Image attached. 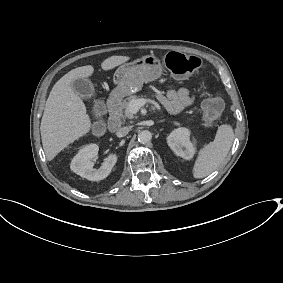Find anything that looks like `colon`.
Returning a JSON list of instances; mask_svg holds the SVG:
<instances>
[{"label":"colon","mask_w":283,"mask_h":283,"mask_svg":"<svg viewBox=\"0 0 283 283\" xmlns=\"http://www.w3.org/2000/svg\"><path fill=\"white\" fill-rule=\"evenodd\" d=\"M163 63L174 75L180 77L200 73L204 68L203 62L198 57L179 52L167 53L163 58ZM222 110L223 102L218 95L208 96L202 103L203 117L209 124L215 122L221 116ZM101 112L102 106H96L95 113L99 115Z\"/></svg>","instance_id":"5ec220e1"}]
</instances>
